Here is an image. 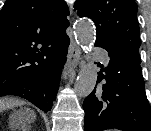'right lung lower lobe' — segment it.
Wrapping results in <instances>:
<instances>
[{"label": "right lung lower lobe", "mask_w": 151, "mask_h": 131, "mask_svg": "<svg viewBox=\"0 0 151 131\" xmlns=\"http://www.w3.org/2000/svg\"><path fill=\"white\" fill-rule=\"evenodd\" d=\"M69 38H65L53 46L44 65L31 76L14 85L1 96H18L32 102L42 111H49L55 100L62 68L66 62Z\"/></svg>", "instance_id": "98d812e1"}]
</instances>
